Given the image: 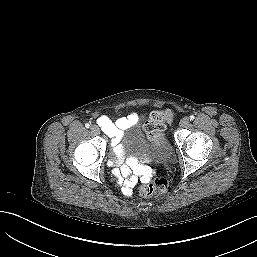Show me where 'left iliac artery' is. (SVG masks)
Segmentation results:
<instances>
[{
  "instance_id": "obj_1",
  "label": "left iliac artery",
  "mask_w": 257,
  "mask_h": 257,
  "mask_svg": "<svg viewBox=\"0 0 257 257\" xmlns=\"http://www.w3.org/2000/svg\"><path fill=\"white\" fill-rule=\"evenodd\" d=\"M189 118H190V121H191V120H194L195 117L193 115H191Z\"/></svg>"
}]
</instances>
